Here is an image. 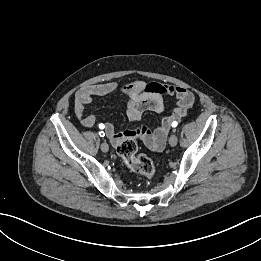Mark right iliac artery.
Segmentation results:
<instances>
[{
	"label": "right iliac artery",
	"mask_w": 261,
	"mask_h": 261,
	"mask_svg": "<svg viewBox=\"0 0 261 261\" xmlns=\"http://www.w3.org/2000/svg\"><path fill=\"white\" fill-rule=\"evenodd\" d=\"M99 128H100V129H103V128H104V125H103V124H99ZM99 135H100V137H104V136H105V133H104L103 131H100V132H99Z\"/></svg>",
	"instance_id": "1"
}]
</instances>
